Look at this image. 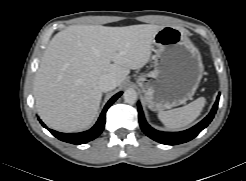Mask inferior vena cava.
Masks as SVG:
<instances>
[{
	"label": "inferior vena cava",
	"mask_w": 246,
	"mask_h": 181,
	"mask_svg": "<svg viewBox=\"0 0 246 181\" xmlns=\"http://www.w3.org/2000/svg\"><path fill=\"white\" fill-rule=\"evenodd\" d=\"M98 86L102 92H107L116 87V81L112 75L104 74L100 76Z\"/></svg>",
	"instance_id": "inferior-vena-cava-1"
}]
</instances>
